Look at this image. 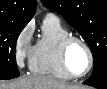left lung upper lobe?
<instances>
[{"label": "left lung upper lobe", "instance_id": "5c2ea615", "mask_svg": "<svg viewBox=\"0 0 107 89\" xmlns=\"http://www.w3.org/2000/svg\"><path fill=\"white\" fill-rule=\"evenodd\" d=\"M61 14L89 45L95 74L107 64V0H42Z\"/></svg>", "mask_w": 107, "mask_h": 89}]
</instances>
